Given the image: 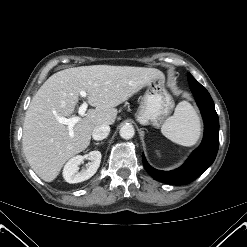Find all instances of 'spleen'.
I'll list each match as a JSON object with an SVG mask.
<instances>
[{
    "mask_svg": "<svg viewBox=\"0 0 247 247\" xmlns=\"http://www.w3.org/2000/svg\"><path fill=\"white\" fill-rule=\"evenodd\" d=\"M200 119L187 101H181L175 108L173 116L166 119L161 127L162 134L182 146L195 145L200 137Z\"/></svg>",
    "mask_w": 247,
    "mask_h": 247,
    "instance_id": "obj_1",
    "label": "spleen"
}]
</instances>
